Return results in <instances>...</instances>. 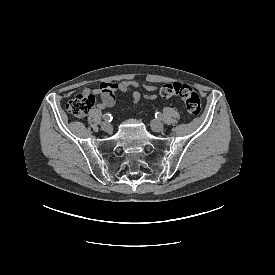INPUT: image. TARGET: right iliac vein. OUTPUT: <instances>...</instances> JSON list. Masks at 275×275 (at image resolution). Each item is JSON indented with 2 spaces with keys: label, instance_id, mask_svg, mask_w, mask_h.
<instances>
[{
  "label": "right iliac vein",
  "instance_id": "1",
  "mask_svg": "<svg viewBox=\"0 0 275 275\" xmlns=\"http://www.w3.org/2000/svg\"><path fill=\"white\" fill-rule=\"evenodd\" d=\"M101 128L106 131V132H109L111 130V124L108 123V122H103L101 124Z\"/></svg>",
  "mask_w": 275,
  "mask_h": 275
}]
</instances>
